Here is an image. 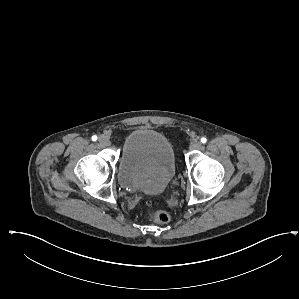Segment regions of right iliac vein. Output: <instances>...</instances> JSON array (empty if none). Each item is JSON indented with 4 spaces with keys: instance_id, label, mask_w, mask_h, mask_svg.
Segmentation results:
<instances>
[{
    "instance_id": "63e3f726",
    "label": "right iliac vein",
    "mask_w": 299,
    "mask_h": 299,
    "mask_svg": "<svg viewBox=\"0 0 299 299\" xmlns=\"http://www.w3.org/2000/svg\"><path fill=\"white\" fill-rule=\"evenodd\" d=\"M98 142L102 146H109L111 144L110 140L107 137H105V136H100L99 139H98Z\"/></svg>"
}]
</instances>
